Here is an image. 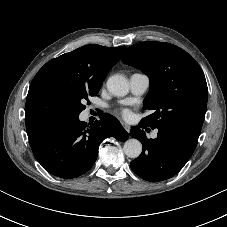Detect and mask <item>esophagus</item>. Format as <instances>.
Masks as SVG:
<instances>
[{
  "label": "esophagus",
  "instance_id": "esophagus-1",
  "mask_svg": "<svg viewBox=\"0 0 227 227\" xmlns=\"http://www.w3.org/2000/svg\"><path fill=\"white\" fill-rule=\"evenodd\" d=\"M122 126L124 127V129L129 133L130 132V126L124 122H121Z\"/></svg>",
  "mask_w": 227,
  "mask_h": 227
}]
</instances>
